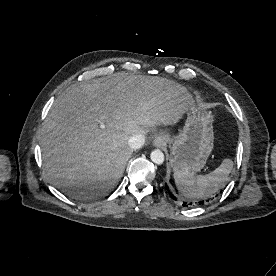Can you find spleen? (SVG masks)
I'll return each mask as SVG.
<instances>
[{"label":"spleen","instance_id":"obj_1","mask_svg":"<svg viewBox=\"0 0 276 276\" xmlns=\"http://www.w3.org/2000/svg\"><path fill=\"white\" fill-rule=\"evenodd\" d=\"M233 168L231 159H224L213 172L196 176L194 173L174 171L177 189L189 199H202L215 194L225 187L226 181Z\"/></svg>","mask_w":276,"mask_h":276}]
</instances>
